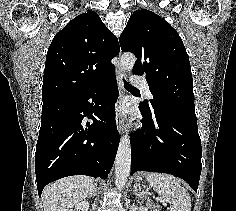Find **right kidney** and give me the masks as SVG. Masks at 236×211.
<instances>
[{
	"label": "right kidney",
	"mask_w": 236,
	"mask_h": 211,
	"mask_svg": "<svg viewBox=\"0 0 236 211\" xmlns=\"http://www.w3.org/2000/svg\"><path fill=\"white\" fill-rule=\"evenodd\" d=\"M89 203L87 201H82L76 204L74 211H88ZM73 211V210H70Z\"/></svg>",
	"instance_id": "1"
}]
</instances>
